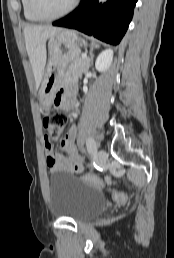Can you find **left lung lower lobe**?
<instances>
[{"label": "left lung lower lobe", "mask_w": 174, "mask_h": 258, "mask_svg": "<svg viewBox=\"0 0 174 258\" xmlns=\"http://www.w3.org/2000/svg\"><path fill=\"white\" fill-rule=\"evenodd\" d=\"M137 0H81L76 10L53 22L54 26L79 30L106 43L117 45L127 31Z\"/></svg>", "instance_id": "left-lung-lower-lobe-1"}]
</instances>
